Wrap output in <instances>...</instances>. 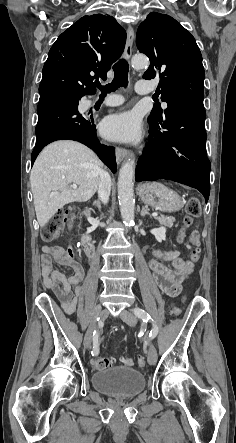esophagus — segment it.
<instances>
[{"label":"esophagus","instance_id":"1","mask_svg":"<svg viewBox=\"0 0 236 443\" xmlns=\"http://www.w3.org/2000/svg\"><path fill=\"white\" fill-rule=\"evenodd\" d=\"M134 30L131 26H128L127 28V40L125 45V51H124V58L126 60H129L132 56V46L134 42ZM128 150L125 148L117 147L116 148V161L118 164H120L124 158L128 155Z\"/></svg>","mask_w":236,"mask_h":443}]
</instances>
